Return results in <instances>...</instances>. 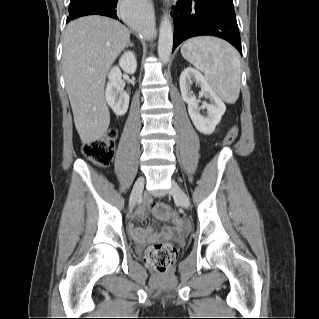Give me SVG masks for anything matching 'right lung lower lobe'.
<instances>
[{"label": "right lung lower lobe", "mask_w": 319, "mask_h": 319, "mask_svg": "<svg viewBox=\"0 0 319 319\" xmlns=\"http://www.w3.org/2000/svg\"><path fill=\"white\" fill-rule=\"evenodd\" d=\"M117 2L118 0H85L82 5L69 13L67 22L86 15H103L118 19Z\"/></svg>", "instance_id": "right-lung-lower-lobe-1"}]
</instances>
